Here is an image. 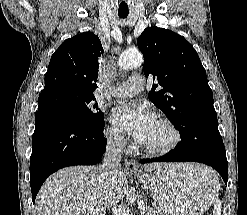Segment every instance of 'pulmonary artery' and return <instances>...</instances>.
Instances as JSON below:
<instances>
[{
	"mask_svg": "<svg viewBox=\"0 0 247 215\" xmlns=\"http://www.w3.org/2000/svg\"><path fill=\"white\" fill-rule=\"evenodd\" d=\"M144 88L142 76H131L125 82L112 87L111 94L115 97L126 98L136 95Z\"/></svg>",
	"mask_w": 247,
	"mask_h": 215,
	"instance_id": "1",
	"label": "pulmonary artery"
}]
</instances>
